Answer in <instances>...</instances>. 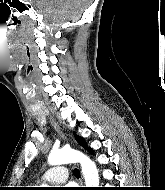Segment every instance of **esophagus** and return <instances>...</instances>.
I'll list each match as a JSON object with an SVG mask.
<instances>
[{"mask_svg":"<svg viewBox=\"0 0 165 190\" xmlns=\"http://www.w3.org/2000/svg\"><path fill=\"white\" fill-rule=\"evenodd\" d=\"M55 129L60 133L61 137L65 140L66 136L61 132L59 125L56 122H53Z\"/></svg>","mask_w":165,"mask_h":190,"instance_id":"esophagus-1","label":"esophagus"}]
</instances>
